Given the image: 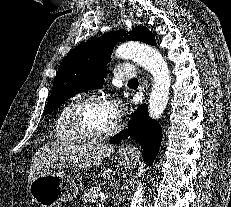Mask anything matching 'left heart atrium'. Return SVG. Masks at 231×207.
I'll use <instances>...</instances> for the list:
<instances>
[{
	"label": "left heart atrium",
	"mask_w": 231,
	"mask_h": 207,
	"mask_svg": "<svg viewBox=\"0 0 231 207\" xmlns=\"http://www.w3.org/2000/svg\"><path fill=\"white\" fill-rule=\"evenodd\" d=\"M108 105L113 116L117 119L122 113V104L119 101L114 100Z\"/></svg>",
	"instance_id": "1"
}]
</instances>
